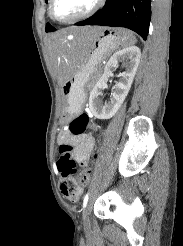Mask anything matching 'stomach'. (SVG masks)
Masks as SVG:
<instances>
[{"label":"stomach","instance_id":"1","mask_svg":"<svg viewBox=\"0 0 183 246\" xmlns=\"http://www.w3.org/2000/svg\"><path fill=\"white\" fill-rule=\"evenodd\" d=\"M124 42L123 30L102 28L92 41L84 43L80 60L74 67L72 77L63 84L64 112L72 118L82 110L86 85L95 71L97 64ZM74 44L75 42H65Z\"/></svg>","mask_w":183,"mask_h":246}]
</instances>
